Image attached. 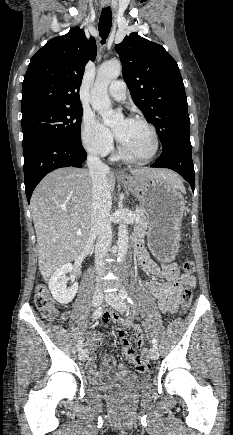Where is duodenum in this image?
Instances as JSON below:
<instances>
[{"label":"duodenum","instance_id":"duodenum-1","mask_svg":"<svg viewBox=\"0 0 233 435\" xmlns=\"http://www.w3.org/2000/svg\"><path fill=\"white\" fill-rule=\"evenodd\" d=\"M134 250H135L136 253L138 252V248H137L136 245H134Z\"/></svg>","mask_w":233,"mask_h":435}]
</instances>
